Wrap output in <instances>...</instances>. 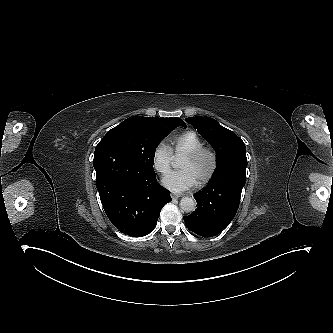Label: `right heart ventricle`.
Returning a JSON list of instances; mask_svg holds the SVG:
<instances>
[{"label":"right heart ventricle","instance_id":"obj_1","mask_svg":"<svg viewBox=\"0 0 333 333\" xmlns=\"http://www.w3.org/2000/svg\"><path fill=\"white\" fill-rule=\"evenodd\" d=\"M202 147V143L194 132H186L179 136L173 144L176 159L181 160L189 153Z\"/></svg>","mask_w":333,"mask_h":333}]
</instances>
